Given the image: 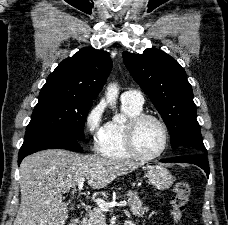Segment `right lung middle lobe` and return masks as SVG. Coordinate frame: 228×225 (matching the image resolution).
I'll return each mask as SVG.
<instances>
[{"mask_svg":"<svg viewBox=\"0 0 228 225\" xmlns=\"http://www.w3.org/2000/svg\"><path fill=\"white\" fill-rule=\"evenodd\" d=\"M92 99L80 97L60 89H41L25 135L53 132L84 140V121Z\"/></svg>","mask_w":228,"mask_h":225,"instance_id":"obj_1","label":"right lung middle lobe"}]
</instances>
